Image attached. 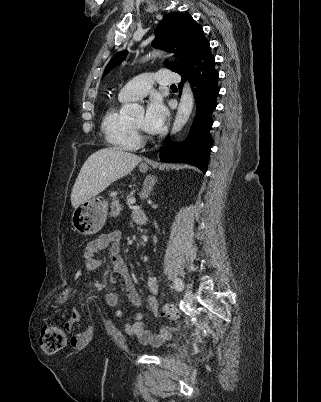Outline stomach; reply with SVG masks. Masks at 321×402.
<instances>
[{
  "label": "stomach",
  "mask_w": 321,
  "mask_h": 402,
  "mask_svg": "<svg viewBox=\"0 0 321 402\" xmlns=\"http://www.w3.org/2000/svg\"><path fill=\"white\" fill-rule=\"evenodd\" d=\"M141 172H147L148 166L141 164ZM107 218V202L99 198H91L76 207L71 218L75 231L83 235H92L101 230Z\"/></svg>",
  "instance_id": "0dacf381"
}]
</instances>
